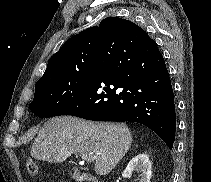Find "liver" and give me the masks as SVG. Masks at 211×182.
Returning <instances> with one entry per match:
<instances>
[{
	"mask_svg": "<svg viewBox=\"0 0 211 182\" xmlns=\"http://www.w3.org/2000/svg\"><path fill=\"white\" fill-rule=\"evenodd\" d=\"M132 135L125 124L94 123L72 116L48 120L31 147L37 160L61 163L73 153L95 155L94 171L107 175L125 156Z\"/></svg>",
	"mask_w": 211,
	"mask_h": 182,
	"instance_id": "obj_1",
	"label": "liver"
}]
</instances>
